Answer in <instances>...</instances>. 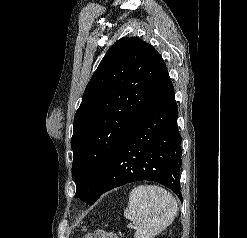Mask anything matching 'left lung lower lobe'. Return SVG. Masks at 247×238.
Masks as SVG:
<instances>
[{
  "label": "left lung lower lobe",
  "mask_w": 247,
  "mask_h": 238,
  "mask_svg": "<svg viewBox=\"0 0 247 238\" xmlns=\"http://www.w3.org/2000/svg\"><path fill=\"white\" fill-rule=\"evenodd\" d=\"M174 87L167 70L150 100L118 149L101 194L124 184L150 180L181 195V136Z\"/></svg>",
  "instance_id": "1"
}]
</instances>
